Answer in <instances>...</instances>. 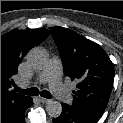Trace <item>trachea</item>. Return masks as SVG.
Listing matches in <instances>:
<instances>
[{"label":"trachea","instance_id":"obj_1","mask_svg":"<svg viewBox=\"0 0 123 123\" xmlns=\"http://www.w3.org/2000/svg\"><path fill=\"white\" fill-rule=\"evenodd\" d=\"M15 89H16L17 92H20V93L25 94V95L37 96V95L40 94L44 98H47V99L51 98V94H50L49 91L43 90V91L40 92L39 89L36 88V87L25 89V90H22L18 87H16Z\"/></svg>","mask_w":123,"mask_h":123}]
</instances>
